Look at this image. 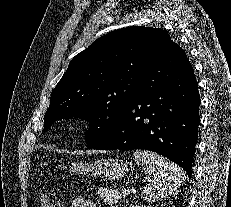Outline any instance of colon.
<instances>
[{"instance_id": "1", "label": "colon", "mask_w": 231, "mask_h": 207, "mask_svg": "<svg viewBox=\"0 0 231 207\" xmlns=\"http://www.w3.org/2000/svg\"><path fill=\"white\" fill-rule=\"evenodd\" d=\"M40 207H59L58 198L54 193H46L40 198Z\"/></svg>"}]
</instances>
